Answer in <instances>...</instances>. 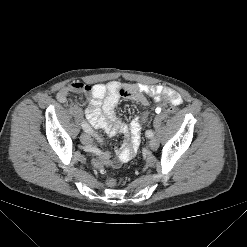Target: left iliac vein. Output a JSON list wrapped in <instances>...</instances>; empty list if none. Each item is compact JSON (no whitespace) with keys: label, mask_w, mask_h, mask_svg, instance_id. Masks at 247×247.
Wrapping results in <instances>:
<instances>
[{"label":"left iliac vein","mask_w":247,"mask_h":247,"mask_svg":"<svg viewBox=\"0 0 247 247\" xmlns=\"http://www.w3.org/2000/svg\"><path fill=\"white\" fill-rule=\"evenodd\" d=\"M159 146V142L155 137H152L149 141V147L151 150H156Z\"/></svg>","instance_id":"left-iliac-vein-1"}]
</instances>
